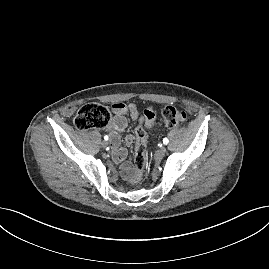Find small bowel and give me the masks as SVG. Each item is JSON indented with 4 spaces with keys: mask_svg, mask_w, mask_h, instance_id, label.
Listing matches in <instances>:
<instances>
[{
    "mask_svg": "<svg viewBox=\"0 0 269 269\" xmlns=\"http://www.w3.org/2000/svg\"><path fill=\"white\" fill-rule=\"evenodd\" d=\"M112 111L114 117L108 127L111 138L112 156L117 164H121L123 177L131 180L134 167L130 163H124L127 150L120 145V135L127 126L126 116L129 114L133 120H137L140 116V110L135 104L117 102L112 105ZM125 143L127 146H131L134 143V137L131 134L126 135Z\"/></svg>",
    "mask_w": 269,
    "mask_h": 269,
    "instance_id": "small-bowel-1",
    "label": "small bowel"
}]
</instances>
